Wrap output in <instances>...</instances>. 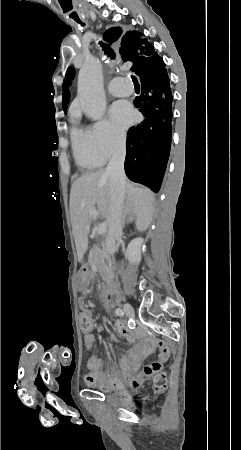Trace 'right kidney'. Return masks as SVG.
I'll return each mask as SVG.
<instances>
[{
    "label": "right kidney",
    "instance_id": "obj_1",
    "mask_svg": "<svg viewBox=\"0 0 241 450\" xmlns=\"http://www.w3.org/2000/svg\"><path fill=\"white\" fill-rule=\"evenodd\" d=\"M143 242V238H135V240H132V242L128 244L126 258H128V262H130V264H140Z\"/></svg>",
    "mask_w": 241,
    "mask_h": 450
}]
</instances>
